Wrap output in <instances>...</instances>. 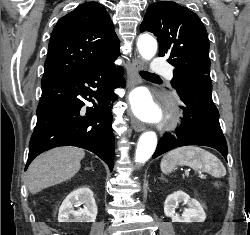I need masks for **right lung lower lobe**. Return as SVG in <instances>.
I'll list each match as a JSON object with an SVG mask.
<instances>
[{"mask_svg":"<svg viewBox=\"0 0 250 235\" xmlns=\"http://www.w3.org/2000/svg\"><path fill=\"white\" fill-rule=\"evenodd\" d=\"M110 57L75 75L41 82L37 124L30 139L25 170L40 153L77 146L98 155L110 170L114 162L111 108L114 89L124 86L123 70ZM85 101L93 107H84Z\"/></svg>","mask_w":250,"mask_h":235,"instance_id":"obj_1","label":"right lung lower lobe"}]
</instances>
